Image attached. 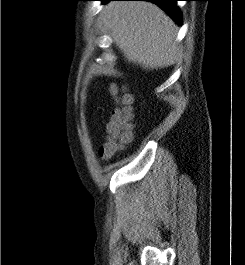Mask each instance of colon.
<instances>
[{
	"label": "colon",
	"instance_id": "5ec220e1",
	"mask_svg": "<svg viewBox=\"0 0 245 265\" xmlns=\"http://www.w3.org/2000/svg\"><path fill=\"white\" fill-rule=\"evenodd\" d=\"M117 106L107 125L108 138L100 148V155L110 157L132 140V96L116 84L110 87Z\"/></svg>",
	"mask_w": 245,
	"mask_h": 265
}]
</instances>
